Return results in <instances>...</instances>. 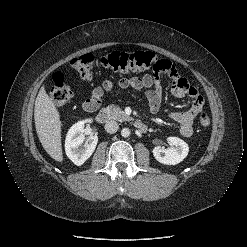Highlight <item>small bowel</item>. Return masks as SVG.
<instances>
[{
  "instance_id": "small-bowel-1",
  "label": "small bowel",
  "mask_w": 247,
  "mask_h": 247,
  "mask_svg": "<svg viewBox=\"0 0 247 247\" xmlns=\"http://www.w3.org/2000/svg\"><path fill=\"white\" fill-rule=\"evenodd\" d=\"M172 79L171 92L175 97L181 98L188 96L192 99V105L185 111H170L169 116L180 124V134L184 137H190L193 134V123L196 116L201 113L204 105V99L196 88L191 86L188 80L181 77L175 67L167 72ZM117 85L120 88H133L144 93L149 109L156 113L162 107V86L158 76L145 74L142 77H134L130 79H121ZM115 83L111 80H106L102 88L93 90L91 96L83 101V108L86 111L93 112L101 104L103 91L112 90Z\"/></svg>"
}]
</instances>
